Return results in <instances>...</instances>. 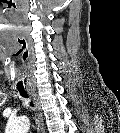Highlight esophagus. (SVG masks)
Segmentation results:
<instances>
[{"mask_svg": "<svg viewBox=\"0 0 120 133\" xmlns=\"http://www.w3.org/2000/svg\"><path fill=\"white\" fill-rule=\"evenodd\" d=\"M29 94L31 96V99H32L34 105H35V121H36L38 130L40 133H45V130L43 128V115H42V111H41L39 98L37 97V95L35 94L34 91H30Z\"/></svg>", "mask_w": 120, "mask_h": 133, "instance_id": "esophagus-1", "label": "esophagus"}]
</instances>
